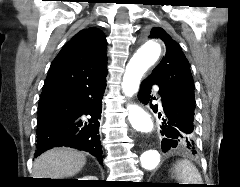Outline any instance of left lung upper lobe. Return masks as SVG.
<instances>
[{
  "label": "left lung upper lobe",
  "instance_id": "obj_1",
  "mask_svg": "<svg viewBox=\"0 0 240 187\" xmlns=\"http://www.w3.org/2000/svg\"><path fill=\"white\" fill-rule=\"evenodd\" d=\"M149 37L161 39L166 46L165 56L153 69L149 78L160 88L195 103L194 82L189 63L179 44L161 27L152 28Z\"/></svg>",
  "mask_w": 240,
  "mask_h": 187
}]
</instances>
